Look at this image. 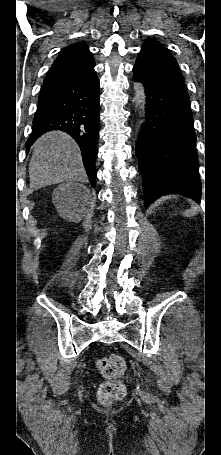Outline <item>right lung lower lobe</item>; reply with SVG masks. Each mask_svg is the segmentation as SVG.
I'll return each mask as SVG.
<instances>
[{
	"label": "right lung lower lobe",
	"mask_w": 221,
	"mask_h": 455,
	"mask_svg": "<svg viewBox=\"0 0 221 455\" xmlns=\"http://www.w3.org/2000/svg\"><path fill=\"white\" fill-rule=\"evenodd\" d=\"M90 51H75L55 61L44 79L27 149L42 134L62 130L78 143L92 187L97 172L99 138V80Z\"/></svg>",
	"instance_id": "98d812e1"
}]
</instances>
